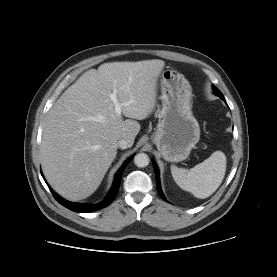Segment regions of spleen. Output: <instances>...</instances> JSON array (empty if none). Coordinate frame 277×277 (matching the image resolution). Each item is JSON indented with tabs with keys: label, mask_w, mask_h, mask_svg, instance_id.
<instances>
[{
	"label": "spleen",
	"mask_w": 277,
	"mask_h": 277,
	"mask_svg": "<svg viewBox=\"0 0 277 277\" xmlns=\"http://www.w3.org/2000/svg\"><path fill=\"white\" fill-rule=\"evenodd\" d=\"M226 172V156L215 151L209 158L190 170L171 166V174L176 184L196 198L211 196L221 185Z\"/></svg>",
	"instance_id": "obj_1"
}]
</instances>
